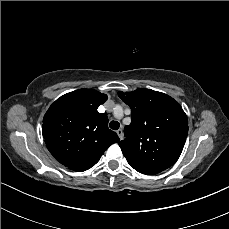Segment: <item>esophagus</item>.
I'll list each match as a JSON object with an SVG mask.
<instances>
[{"label":"esophagus","instance_id":"esophagus-1","mask_svg":"<svg viewBox=\"0 0 229 229\" xmlns=\"http://www.w3.org/2000/svg\"><path fill=\"white\" fill-rule=\"evenodd\" d=\"M117 134H118L120 140H122L123 137H124L123 130H122V129H118V130H117Z\"/></svg>","mask_w":229,"mask_h":229}]
</instances>
